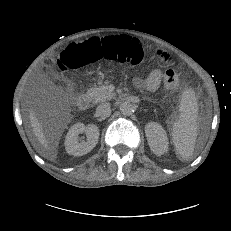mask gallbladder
<instances>
[{
  "instance_id": "gallbladder-1",
  "label": "gallbladder",
  "mask_w": 231,
  "mask_h": 231,
  "mask_svg": "<svg viewBox=\"0 0 231 231\" xmlns=\"http://www.w3.org/2000/svg\"><path fill=\"white\" fill-rule=\"evenodd\" d=\"M47 89H48V91L46 93L49 94L50 96H52L54 94V90H55L54 86L51 84H47Z\"/></svg>"
}]
</instances>
